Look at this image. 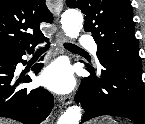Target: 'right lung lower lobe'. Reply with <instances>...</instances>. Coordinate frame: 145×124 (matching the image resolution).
I'll use <instances>...</instances> for the list:
<instances>
[{"mask_svg":"<svg viewBox=\"0 0 145 124\" xmlns=\"http://www.w3.org/2000/svg\"><path fill=\"white\" fill-rule=\"evenodd\" d=\"M44 40H47L46 38ZM32 53L34 47L26 49ZM26 50L0 53V117L11 118L24 124H39L50 114L54 99L47 90L19 89L20 83H29L31 78L16 79L14 72ZM43 64H35L32 70L37 74Z\"/></svg>","mask_w":145,"mask_h":124,"instance_id":"right-lung-lower-lobe-1","label":"right lung lower lobe"}]
</instances>
